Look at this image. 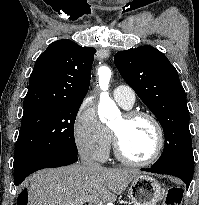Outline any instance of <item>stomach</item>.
<instances>
[{
    "label": "stomach",
    "instance_id": "obj_1",
    "mask_svg": "<svg viewBox=\"0 0 199 205\" xmlns=\"http://www.w3.org/2000/svg\"><path fill=\"white\" fill-rule=\"evenodd\" d=\"M164 194V186L155 178L139 174L131 181L128 197L133 205H156Z\"/></svg>",
    "mask_w": 199,
    "mask_h": 205
}]
</instances>
